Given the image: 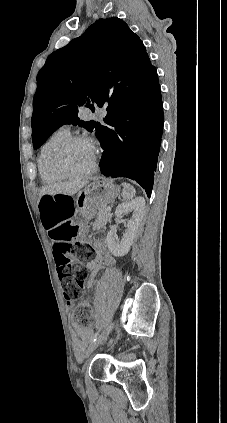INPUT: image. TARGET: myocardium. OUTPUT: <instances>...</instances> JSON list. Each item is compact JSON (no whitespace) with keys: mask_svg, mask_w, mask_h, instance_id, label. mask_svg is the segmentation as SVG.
I'll return each mask as SVG.
<instances>
[{"mask_svg":"<svg viewBox=\"0 0 227 423\" xmlns=\"http://www.w3.org/2000/svg\"><path fill=\"white\" fill-rule=\"evenodd\" d=\"M75 143H85L91 145L90 141L82 135H69L54 146L48 157V163L52 170L62 178L69 180H79L86 178L93 174L98 166V156L95 153V159L90 168L81 173L71 172L63 162V155L67 148Z\"/></svg>","mask_w":227,"mask_h":423,"instance_id":"obj_1","label":"myocardium"}]
</instances>
